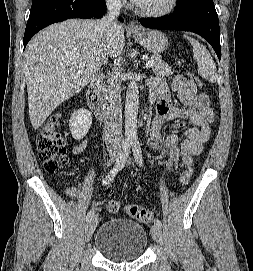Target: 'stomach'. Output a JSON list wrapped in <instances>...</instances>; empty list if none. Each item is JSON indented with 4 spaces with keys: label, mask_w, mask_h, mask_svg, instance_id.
Instances as JSON below:
<instances>
[{
    "label": "stomach",
    "mask_w": 253,
    "mask_h": 271,
    "mask_svg": "<svg viewBox=\"0 0 253 271\" xmlns=\"http://www.w3.org/2000/svg\"><path fill=\"white\" fill-rule=\"evenodd\" d=\"M133 36L141 46L154 54L162 53L168 47L166 35L158 30H142Z\"/></svg>",
    "instance_id": "stomach-1"
}]
</instances>
